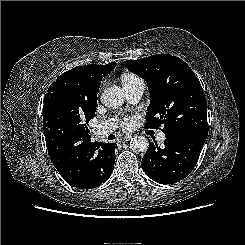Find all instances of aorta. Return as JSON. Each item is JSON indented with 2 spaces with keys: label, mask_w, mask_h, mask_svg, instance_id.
<instances>
[{
  "label": "aorta",
  "mask_w": 245,
  "mask_h": 245,
  "mask_svg": "<svg viewBox=\"0 0 245 245\" xmlns=\"http://www.w3.org/2000/svg\"><path fill=\"white\" fill-rule=\"evenodd\" d=\"M124 91L118 86L109 87L101 95V102L108 108L116 109L123 104ZM149 142L145 136L136 135L131 139L130 148L136 152H145Z\"/></svg>",
  "instance_id": "1"
}]
</instances>
